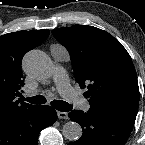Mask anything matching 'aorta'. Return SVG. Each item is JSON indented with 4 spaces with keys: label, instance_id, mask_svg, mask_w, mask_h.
Segmentation results:
<instances>
[{
    "label": "aorta",
    "instance_id": "aorta-1",
    "mask_svg": "<svg viewBox=\"0 0 145 145\" xmlns=\"http://www.w3.org/2000/svg\"><path fill=\"white\" fill-rule=\"evenodd\" d=\"M25 72L38 80H45L51 77L53 63L51 59L40 50H31L23 59ZM83 130L80 124L69 121L62 128L63 136L69 141H76L82 136Z\"/></svg>",
    "mask_w": 145,
    "mask_h": 145
}]
</instances>
